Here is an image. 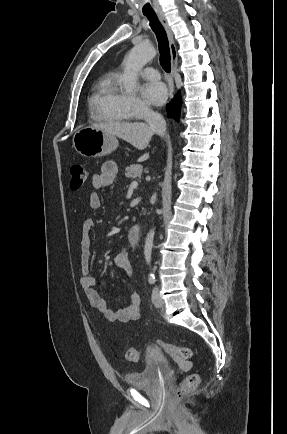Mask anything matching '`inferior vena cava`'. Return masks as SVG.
<instances>
[{"label": "inferior vena cava", "mask_w": 287, "mask_h": 434, "mask_svg": "<svg viewBox=\"0 0 287 434\" xmlns=\"http://www.w3.org/2000/svg\"><path fill=\"white\" fill-rule=\"evenodd\" d=\"M144 118L145 121L148 123V125L156 131L157 134L160 136H164L166 133V121L164 120L163 116L158 113L154 112L150 109H146L144 111Z\"/></svg>", "instance_id": "602c4592"}]
</instances>
